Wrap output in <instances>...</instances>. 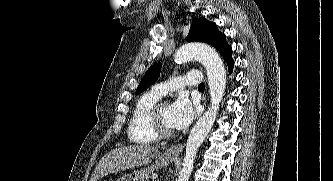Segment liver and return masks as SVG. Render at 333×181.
I'll return each mask as SVG.
<instances>
[{
  "label": "liver",
  "mask_w": 333,
  "mask_h": 181,
  "mask_svg": "<svg viewBox=\"0 0 333 181\" xmlns=\"http://www.w3.org/2000/svg\"><path fill=\"white\" fill-rule=\"evenodd\" d=\"M158 153V147L147 145H131L115 148L107 153L98 163L90 178L97 181L100 178L136 166H145L151 163Z\"/></svg>",
  "instance_id": "obj_1"
}]
</instances>
